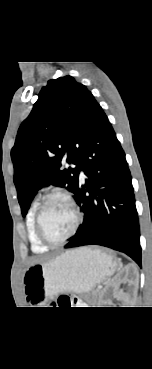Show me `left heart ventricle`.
Returning a JSON list of instances; mask_svg holds the SVG:
<instances>
[{"label":"left heart ventricle","instance_id":"b2bd125f","mask_svg":"<svg viewBox=\"0 0 152 369\" xmlns=\"http://www.w3.org/2000/svg\"><path fill=\"white\" fill-rule=\"evenodd\" d=\"M75 223L71 206L63 199H52L42 216V227L48 238L59 240L68 235Z\"/></svg>","mask_w":152,"mask_h":369}]
</instances>
